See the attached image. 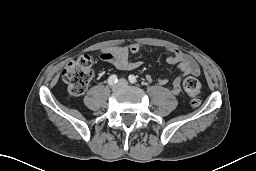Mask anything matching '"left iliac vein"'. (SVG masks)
<instances>
[{
	"label": "left iliac vein",
	"mask_w": 256,
	"mask_h": 171,
	"mask_svg": "<svg viewBox=\"0 0 256 171\" xmlns=\"http://www.w3.org/2000/svg\"><path fill=\"white\" fill-rule=\"evenodd\" d=\"M119 85H120V87H125L128 85V82H127V80L122 78L119 80Z\"/></svg>",
	"instance_id": "left-iliac-vein-1"
}]
</instances>
